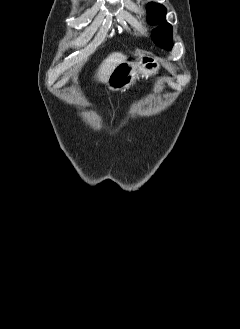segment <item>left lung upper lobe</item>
I'll list each match as a JSON object with an SVG mask.
<instances>
[{
    "label": "left lung upper lobe",
    "instance_id": "obj_1",
    "mask_svg": "<svg viewBox=\"0 0 240 329\" xmlns=\"http://www.w3.org/2000/svg\"><path fill=\"white\" fill-rule=\"evenodd\" d=\"M146 8L148 23L151 25L159 24V27L152 31L154 42L160 47L170 50L173 46V27L165 19V7L161 4L149 3Z\"/></svg>",
    "mask_w": 240,
    "mask_h": 329
}]
</instances>
